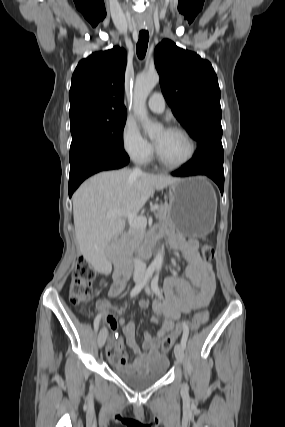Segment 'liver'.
<instances>
[{
  "label": "liver",
  "mask_w": 285,
  "mask_h": 427,
  "mask_svg": "<svg viewBox=\"0 0 285 427\" xmlns=\"http://www.w3.org/2000/svg\"><path fill=\"white\" fill-rule=\"evenodd\" d=\"M178 178L131 170L101 172L85 181L73 195L76 239L84 259L96 269L108 264L107 248L121 233L125 216L108 217L114 210L137 213L154 194Z\"/></svg>",
  "instance_id": "1"
}]
</instances>
